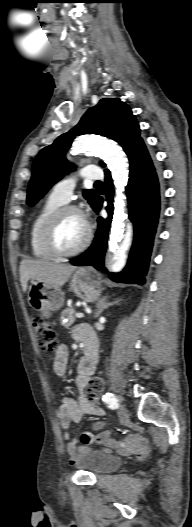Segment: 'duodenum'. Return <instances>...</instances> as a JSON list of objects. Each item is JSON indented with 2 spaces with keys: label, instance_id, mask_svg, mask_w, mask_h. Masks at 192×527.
<instances>
[{
  "label": "duodenum",
  "instance_id": "obj_1",
  "mask_svg": "<svg viewBox=\"0 0 192 527\" xmlns=\"http://www.w3.org/2000/svg\"><path fill=\"white\" fill-rule=\"evenodd\" d=\"M86 354L89 358H91V353L89 351H87Z\"/></svg>",
  "mask_w": 192,
  "mask_h": 527
}]
</instances>
